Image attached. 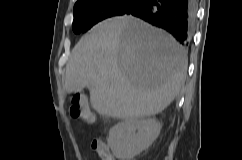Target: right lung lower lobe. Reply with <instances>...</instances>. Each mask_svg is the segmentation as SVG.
Returning a JSON list of instances; mask_svg holds the SVG:
<instances>
[{
    "mask_svg": "<svg viewBox=\"0 0 242 160\" xmlns=\"http://www.w3.org/2000/svg\"><path fill=\"white\" fill-rule=\"evenodd\" d=\"M196 0H142L126 15L163 28L180 43L188 45L195 21Z\"/></svg>",
    "mask_w": 242,
    "mask_h": 160,
    "instance_id": "98d812e1",
    "label": "right lung lower lobe"
}]
</instances>
